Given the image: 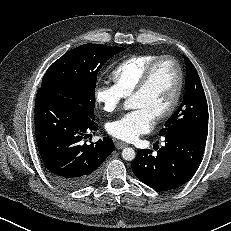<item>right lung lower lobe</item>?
Masks as SVG:
<instances>
[{"instance_id": "obj_1", "label": "right lung lower lobe", "mask_w": 231, "mask_h": 231, "mask_svg": "<svg viewBox=\"0 0 231 231\" xmlns=\"http://www.w3.org/2000/svg\"><path fill=\"white\" fill-rule=\"evenodd\" d=\"M35 135L42 161L51 179L68 190L95 182L114 144L104 137L90 145L81 140L98 125L71 98L39 88L35 99Z\"/></svg>"}]
</instances>
